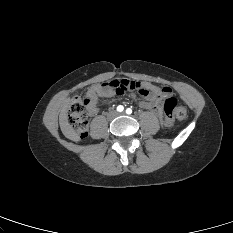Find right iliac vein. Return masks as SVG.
<instances>
[{
    "label": "right iliac vein",
    "mask_w": 233,
    "mask_h": 233,
    "mask_svg": "<svg viewBox=\"0 0 233 233\" xmlns=\"http://www.w3.org/2000/svg\"><path fill=\"white\" fill-rule=\"evenodd\" d=\"M115 116H116V112H114V111H111V112L108 114L109 119H112V118H114Z\"/></svg>",
    "instance_id": "obj_1"
}]
</instances>
